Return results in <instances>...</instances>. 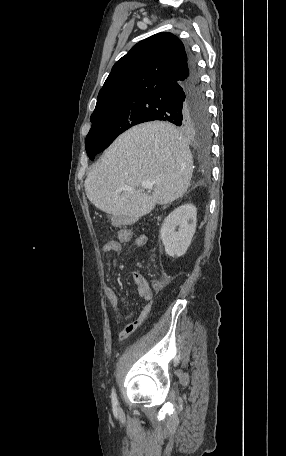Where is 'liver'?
Here are the masks:
<instances>
[{
	"instance_id": "liver-1",
	"label": "liver",
	"mask_w": 286,
	"mask_h": 456,
	"mask_svg": "<svg viewBox=\"0 0 286 456\" xmlns=\"http://www.w3.org/2000/svg\"><path fill=\"white\" fill-rule=\"evenodd\" d=\"M192 173L193 158L182 133L170 123L154 121L120 135L91 169L84 186L95 207L135 222L156 204L182 197ZM144 180L155 182L152 195L142 191Z\"/></svg>"
}]
</instances>
